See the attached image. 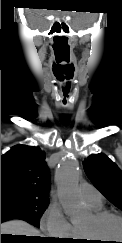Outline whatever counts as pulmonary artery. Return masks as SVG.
I'll return each mask as SVG.
<instances>
[{"label":"pulmonary artery","mask_w":122,"mask_h":243,"mask_svg":"<svg viewBox=\"0 0 122 243\" xmlns=\"http://www.w3.org/2000/svg\"><path fill=\"white\" fill-rule=\"evenodd\" d=\"M80 192L83 200L90 206L102 204L101 193L92 185L87 183L80 184Z\"/></svg>","instance_id":"1"}]
</instances>
